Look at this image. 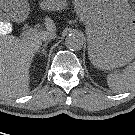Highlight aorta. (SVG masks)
I'll list each match as a JSON object with an SVG mask.
<instances>
[{
	"label": "aorta",
	"mask_w": 135,
	"mask_h": 135,
	"mask_svg": "<svg viewBox=\"0 0 135 135\" xmlns=\"http://www.w3.org/2000/svg\"><path fill=\"white\" fill-rule=\"evenodd\" d=\"M84 40L83 34L75 31L66 37L65 44L71 50H80L83 47Z\"/></svg>",
	"instance_id": "obj_1"
}]
</instances>
